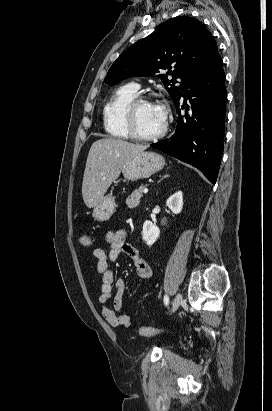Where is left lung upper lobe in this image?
<instances>
[{"label":"left lung upper lobe","mask_w":272,"mask_h":411,"mask_svg":"<svg viewBox=\"0 0 272 411\" xmlns=\"http://www.w3.org/2000/svg\"><path fill=\"white\" fill-rule=\"evenodd\" d=\"M217 54L216 41L199 20L178 16L126 49L110 67L104 82L115 85L130 77L151 76L168 69L158 77L177 104ZM179 78L182 81L176 86Z\"/></svg>","instance_id":"obj_1"}]
</instances>
